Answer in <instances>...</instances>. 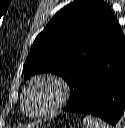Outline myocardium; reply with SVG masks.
I'll return each instance as SVG.
<instances>
[{"label":"myocardium","mask_w":125,"mask_h":128,"mask_svg":"<svg viewBox=\"0 0 125 128\" xmlns=\"http://www.w3.org/2000/svg\"><path fill=\"white\" fill-rule=\"evenodd\" d=\"M37 85H46L50 88L53 94V99L46 107L33 111L27 106V97L33 91ZM69 98V86L67 82L55 75L50 73L38 74L33 76L25 89L23 90L21 97V108L22 111L29 117L41 118L53 115L60 110L68 101Z\"/></svg>","instance_id":"myocardium-1"}]
</instances>
